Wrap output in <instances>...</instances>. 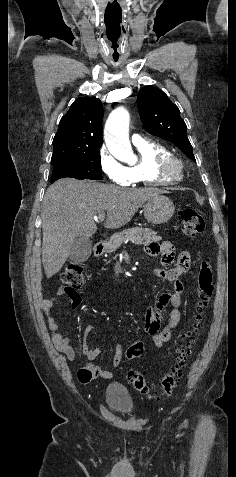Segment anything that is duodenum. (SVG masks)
Segmentation results:
<instances>
[{
	"label": "duodenum",
	"instance_id": "obj_1",
	"mask_svg": "<svg viewBox=\"0 0 236 477\" xmlns=\"http://www.w3.org/2000/svg\"><path fill=\"white\" fill-rule=\"evenodd\" d=\"M105 247V242L104 241H99L95 244L94 246V252L95 254L99 255L103 252Z\"/></svg>",
	"mask_w": 236,
	"mask_h": 477
}]
</instances>
